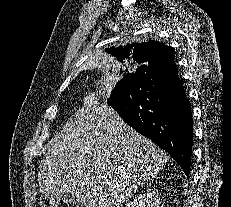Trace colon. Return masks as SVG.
I'll use <instances>...</instances> for the list:
<instances>
[{"instance_id": "obj_1", "label": "colon", "mask_w": 231, "mask_h": 207, "mask_svg": "<svg viewBox=\"0 0 231 207\" xmlns=\"http://www.w3.org/2000/svg\"><path fill=\"white\" fill-rule=\"evenodd\" d=\"M36 207H77L76 205L70 204L60 199H41Z\"/></svg>"}]
</instances>
